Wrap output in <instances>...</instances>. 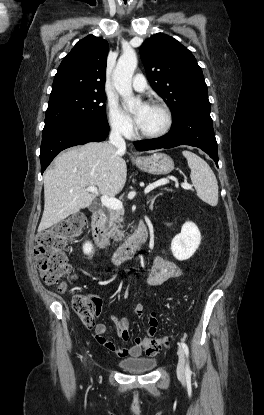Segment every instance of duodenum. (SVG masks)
Masks as SVG:
<instances>
[{
  "label": "duodenum",
  "mask_w": 264,
  "mask_h": 415,
  "mask_svg": "<svg viewBox=\"0 0 264 415\" xmlns=\"http://www.w3.org/2000/svg\"><path fill=\"white\" fill-rule=\"evenodd\" d=\"M92 229L98 247L102 250H107L110 246V243L107 239L105 231V213L103 208H99L93 212ZM148 239V230L144 222H141L136 230L135 235L123 240L120 245L112 252L111 263L114 266L125 263L141 246L147 243Z\"/></svg>",
  "instance_id": "obj_1"
}]
</instances>
